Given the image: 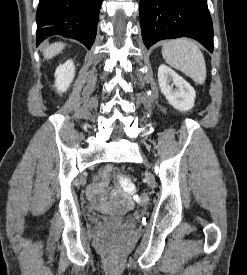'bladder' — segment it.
Listing matches in <instances>:
<instances>
[{
	"instance_id": "obj_1",
	"label": "bladder",
	"mask_w": 247,
	"mask_h": 275,
	"mask_svg": "<svg viewBox=\"0 0 247 275\" xmlns=\"http://www.w3.org/2000/svg\"><path fill=\"white\" fill-rule=\"evenodd\" d=\"M104 219L107 222L119 224V223L125 222L128 219V217L127 216H123V215L110 214V215L105 216Z\"/></svg>"
}]
</instances>
